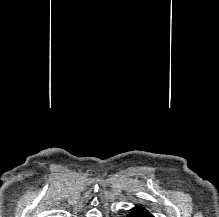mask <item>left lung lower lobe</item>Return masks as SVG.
<instances>
[{"mask_svg":"<svg viewBox=\"0 0 219 217\" xmlns=\"http://www.w3.org/2000/svg\"><path fill=\"white\" fill-rule=\"evenodd\" d=\"M128 217H154L148 210L143 207H134Z\"/></svg>","mask_w":219,"mask_h":217,"instance_id":"0a47b994","label":"left lung lower lobe"}]
</instances>
